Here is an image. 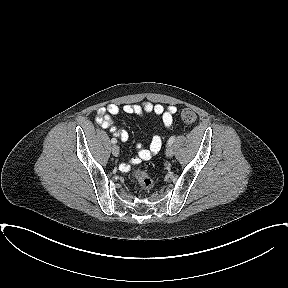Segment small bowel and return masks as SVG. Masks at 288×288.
<instances>
[{"instance_id": "small-bowel-1", "label": "small bowel", "mask_w": 288, "mask_h": 288, "mask_svg": "<svg viewBox=\"0 0 288 288\" xmlns=\"http://www.w3.org/2000/svg\"><path fill=\"white\" fill-rule=\"evenodd\" d=\"M121 109L116 104H110L107 107H102L97 111L96 122L103 128L109 129L115 136L119 137L121 141L126 142L129 134L125 130H118L114 124L113 116L118 115ZM122 111L126 114L137 115L140 117L154 114L159 117L163 125L167 128L173 124V115L176 113L175 106L164 108L160 104H153L151 102H144L143 104H127L122 107ZM162 147V138L159 134H154L151 138L148 147L142 144L137 145V156L132 159L133 164H138L141 161L149 160L152 156L157 154ZM121 169L125 170L128 166L122 164Z\"/></svg>"}]
</instances>
